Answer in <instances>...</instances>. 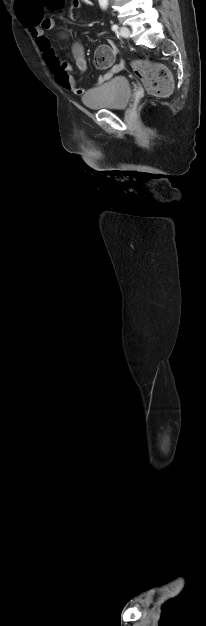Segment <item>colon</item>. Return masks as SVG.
I'll list each match as a JSON object with an SVG mask.
<instances>
[{
  "mask_svg": "<svg viewBox=\"0 0 206 626\" xmlns=\"http://www.w3.org/2000/svg\"><path fill=\"white\" fill-rule=\"evenodd\" d=\"M45 4L52 10H58L64 5V0H45ZM34 22L29 19L27 24L31 25ZM113 60L114 53L109 46L100 45L96 49L94 63L97 68L106 69L112 65ZM132 67L151 95L165 97L171 92L172 77L164 65L145 60H135Z\"/></svg>",
  "mask_w": 206,
  "mask_h": 626,
  "instance_id": "colon-1",
  "label": "colon"
}]
</instances>
